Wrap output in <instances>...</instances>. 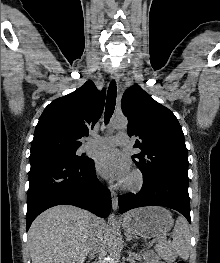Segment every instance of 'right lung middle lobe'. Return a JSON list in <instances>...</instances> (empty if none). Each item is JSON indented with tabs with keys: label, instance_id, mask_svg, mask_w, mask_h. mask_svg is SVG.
Masks as SVG:
<instances>
[{
	"label": "right lung middle lobe",
	"instance_id": "1",
	"mask_svg": "<svg viewBox=\"0 0 220 263\" xmlns=\"http://www.w3.org/2000/svg\"><path fill=\"white\" fill-rule=\"evenodd\" d=\"M78 147L76 148H69V149H55V150H48L42 152V154H48L51 156H54L56 158L69 161V162H75V163H82L88 160V157H80L76 155Z\"/></svg>",
	"mask_w": 220,
	"mask_h": 263
}]
</instances>
